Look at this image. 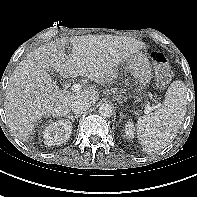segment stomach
<instances>
[{
	"instance_id": "1",
	"label": "stomach",
	"mask_w": 197,
	"mask_h": 197,
	"mask_svg": "<svg viewBox=\"0 0 197 197\" xmlns=\"http://www.w3.org/2000/svg\"><path fill=\"white\" fill-rule=\"evenodd\" d=\"M127 68L134 77L139 90H144L152 78L149 59L142 52L132 55L125 61Z\"/></svg>"
}]
</instances>
